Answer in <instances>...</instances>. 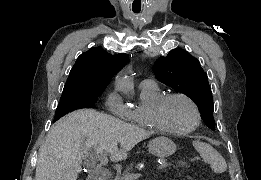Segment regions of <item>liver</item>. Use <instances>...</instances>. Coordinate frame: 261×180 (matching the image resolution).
Masks as SVG:
<instances>
[{"instance_id":"6515ba94","label":"liver","mask_w":261,"mask_h":180,"mask_svg":"<svg viewBox=\"0 0 261 180\" xmlns=\"http://www.w3.org/2000/svg\"><path fill=\"white\" fill-rule=\"evenodd\" d=\"M152 134L109 114L76 110L52 126L39 150L35 180H77L84 158L94 160L95 154L109 152L112 162L126 160Z\"/></svg>"}]
</instances>
